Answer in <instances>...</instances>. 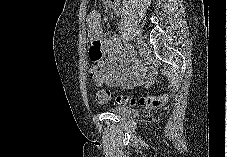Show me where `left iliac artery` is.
<instances>
[{"label":"left iliac artery","instance_id":"1","mask_svg":"<svg viewBox=\"0 0 227 157\" xmlns=\"http://www.w3.org/2000/svg\"><path fill=\"white\" fill-rule=\"evenodd\" d=\"M130 33L132 34L133 37H135V40L136 41H139L140 40V34H137L134 29H131L130 30Z\"/></svg>","mask_w":227,"mask_h":157}]
</instances>
